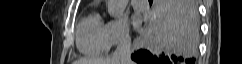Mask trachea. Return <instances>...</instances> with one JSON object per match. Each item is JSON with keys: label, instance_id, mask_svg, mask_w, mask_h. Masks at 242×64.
<instances>
[{"label": "trachea", "instance_id": "3493384b", "mask_svg": "<svg viewBox=\"0 0 242 64\" xmlns=\"http://www.w3.org/2000/svg\"><path fill=\"white\" fill-rule=\"evenodd\" d=\"M149 2H150V3H152V2H153V0H149Z\"/></svg>", "mask_w": 242, "mask_h": 64}]
</instances>
